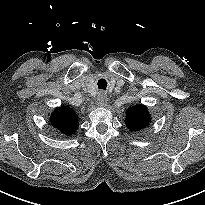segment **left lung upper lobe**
<instances>
[{"mask_svg": "<svg viewBox=\"0 0 205 205\" xmlns=\"http://www.w3.org/2000/svg\"><path fill=\"white\" fill-rule=\"evenodd\" d=\"M150 115L144 105H136L126 112V125L131 131H139L148 126Z\"/></svg>", "mask_w": 205, "mask_h": 205, "instance_id": "5c2ea615", "label": "left lung upper lobe"}]
</instances>
